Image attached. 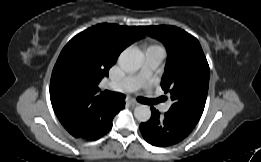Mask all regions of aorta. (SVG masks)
Instances as JSON below:
<instances>
[{
    "label": "aorta",
    "instance_id": "obj_1",
    "mask_svg": "<svg viewBox=\"0 0 261 162\" xmlns=\"http://www.w3.org/2000/svg\"><path fill=\"white\" fill-rule=\"evenodd\" d=\"M118 64L125 72H136L142 65L141 54L135 49H127L120 54ZM134 116L140 122H147L151 117L150 107L147 105L137 106L134 109Z\"/></svg>",
    "mask_w": 261,
    "mask_h": 162
}]
</instances>
